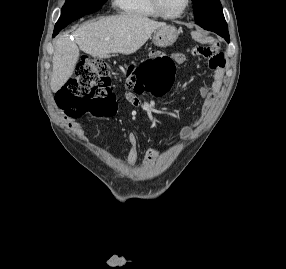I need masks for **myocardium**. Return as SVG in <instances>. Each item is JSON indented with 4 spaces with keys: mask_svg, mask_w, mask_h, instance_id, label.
Wrapping results in <instances>:
<instances>
[{
    "mask_svg": "<svg viewBox=\"0 0 286 269\" xmlns=\"http://www.w3.org/2000/svg\"><path fill=\"white\" fill-rule=\"evenodd\" d=\"M152 7L154 8V10L158 13L159 16L164 17L166 19H178L181 18L183 15H185V13L187 12V10L190 7L191 4V0H185V5L183 7V9L177 13V14H169L167 13L162 5H161V1L160 0H150Z\"/></svg>",
    "mask_w": 286,
    "mask_h": 269,
    "instance_id": "1",
    "label": "myocardium"
}]
</instances>
